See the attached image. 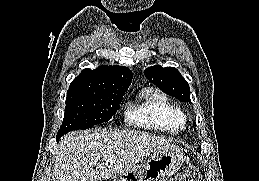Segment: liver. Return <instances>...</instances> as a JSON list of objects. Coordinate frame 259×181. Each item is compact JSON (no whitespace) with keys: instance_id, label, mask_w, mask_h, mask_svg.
I'll use <instances>...</instances> for the list:
<instances>
[{"instance_id":"liver-1","label":"liver","mask_w":259,"mask_h":181,"mask_svg":"<svg viewBox=\"0 0 259 181\" xmlns=\"http://www.w3.org/2000/svg\"><path fill=\"white\" fill-rule=\"evenodd\" d=\"M169 146V140L136 131L71 132L60 141L52 181H102Z\"/></svg>"}]
</instances>
